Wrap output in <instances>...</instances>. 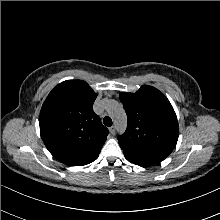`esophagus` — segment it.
Returning a JSON list of instances; mask_svg holds the SVG:
<instances>
[{
  "label": "esophagus",
  "instance_id": "1",
  "mask_svg": "<svg viewBox=\"0 0 220 220\" xmlns=\"http://www.w3.org/2000/svg\"><path fill=\"white\" fill-rule=\"evenodd\" d=\"M109 131H110V133H111L112 135H114V134H115V127H114V126H111V127L109 128Z\"/></svg>",
  "mask_w": 220,
  "mask_h": 220
}]
</instances>
